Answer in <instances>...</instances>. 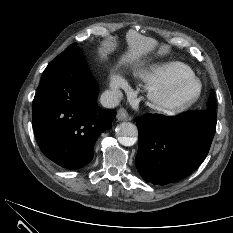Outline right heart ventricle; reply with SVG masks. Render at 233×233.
Masks as SVG:
<instances>
[{
	"mask_svg": "<svg viewBox=\"0 0 233 233\" xmlns=\"http://www.w3.org/2000/svg\"><path fill=\"white\" fill-rule=\"evenodd\" d=\"M193 75V70L188 65L176 61L151 65L138 73L139 78L150 87Z\"/></svg>",
	"mask_w": 233,
	"mask_h": 233,
	"instance_id": "obj_1",
	"label": "right heart ventricle"
}]
</instances>
